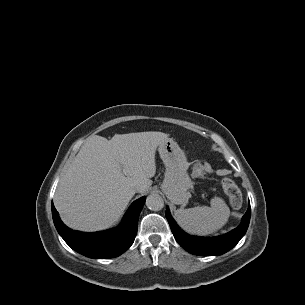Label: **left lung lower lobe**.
<instances>
[{"label":"left lung lower lobe","mask_w":305,"mask_h":305,"mask_svg":"<svg viewBox=\"0 0 305 305\" xmlns=\"http://www.w3.org/2000/svg\"><path fill=\"white\" fill-rule=\"evenodd\" d=\"M166 209V218L176 241L188 252L200 256L221 255L232 249L246 233L251 215L249 206L241 224L231 232L216 237H198L183 232L171 217L169 208Z\"/></svg>","instance_id":"1"}]
</instances>
